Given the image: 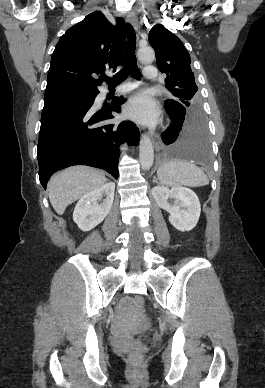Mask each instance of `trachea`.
Returning <instances> with one entry per match:
<instances>
[{"mask_svg":"<svg viewBox=\"0 0 265 388\" xmlns=\"http://www.w3.org/2000/svg\"><path fill=\"white\" fill-rule=\"evenodd\" d=\"M127 44L124 54V65L120 72L116 73L113 78H108L105 81L108 85H118L120 82L130 74L134 78L140 77V71L137 66V60L135 56L136 47V34L130 23L126 24Z\"/></svg>","mask_w":265,"mask_h":388,"instance_id":"trachea-1","label":"trachea"}]
</instances>
